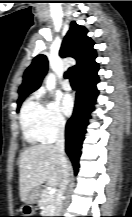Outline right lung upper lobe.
I'll return each mask as SVG.
<instances>
[{
  "instance_id": "cb5924a9",
  "label": "right lung upper lobe",
  "mask_w": 132,
  "mask_h": 217,
  "mask_svg": "<svg viewBox=\"0 0 132 217\" xmlns=\"http://www.w3.org/2000/svg\"><path fill=\"white\" fill-rule=\"evenodd\" d=\"M86 34V28L73 21L60 49L62 58L72 57L76 60L77 64L65 75L72 73L78 81H86L98 76V64L95 62L96 52L93 49L94 42ZM47 69L48 61L45 55L40 54L33 59L32 64L24 73L23 83L19 88V99L25 98L40 87Z\"/></svg>"
}]
</instances>
